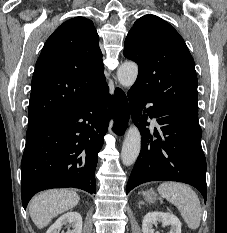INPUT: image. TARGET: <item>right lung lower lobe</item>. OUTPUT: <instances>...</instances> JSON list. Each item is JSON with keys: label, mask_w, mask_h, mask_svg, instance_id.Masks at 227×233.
Listing matches in <instances>:
<instances>
[{"label": "right lung lower lobe", "mask_w": 227, "mask_h": 233, "mask_svg": "<svg viewBox=\"0 0 227 233\" xmlns=\"http://www.w3.org/2000/svg\"><path fill=\"white\" fill-rule=\"evenodd\" d=\"M108 104H112L114 130L122 134L129 110L121 121L115 96L108 95L107 85L87 100L28 127L21 161L24 208L37 192L45 189L74 187L96 192L98 152L107 131V118L111 117L105 109Z\"/></svg>", "instance_id": "1"}]
</instances>
